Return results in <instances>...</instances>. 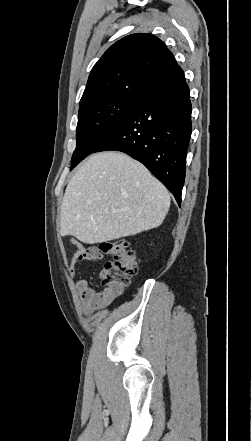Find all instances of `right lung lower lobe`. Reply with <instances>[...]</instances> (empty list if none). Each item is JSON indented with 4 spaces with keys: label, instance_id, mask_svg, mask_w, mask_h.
<instances>
[{
    "label": "right lung lower lobe",
    "instance_id": "1",
    "mask_svg": "<svg viewBox=\"0 0 251 441\" xmlns=\"http://www.w3.org/2000/svg\"><path fill=\"white\" fill-rule=\"evenodd\" d=\"M190 90L184 72L156 83L94 148L121 151L143 163L181 205L192 131Z\"/></svg>",
    "mask_w": 251,
    "mask_h": 441
}]
</instances>
